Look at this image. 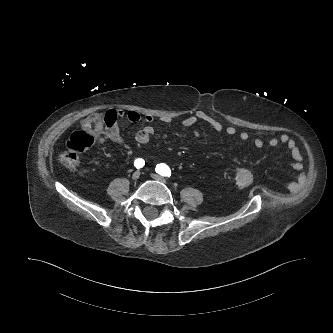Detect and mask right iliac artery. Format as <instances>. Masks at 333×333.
Returning <instances> with one entry per match:
<instances>
[{"mask_svg": "<svg viewBox=\"0 0 333 333\" xmlns=\"http://www.w3.org/2000/svg\"><path fill=\"white\" fill-rule=\"evenodd\" d=\"M145 165V161L144 159L142 158H138L134 161V166L137 168V169H140L142 168L143 166Z\"/></svg>", "mask_w": 333, "mask_h": 333, "instance_id": "right-iliac-artery-1", "label": "right iliac artery"}]
</instances>
